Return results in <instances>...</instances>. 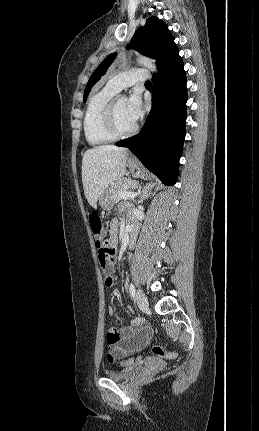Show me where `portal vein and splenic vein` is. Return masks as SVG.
I'll return each instance as SVG.
<instances>
[{"label": "portal vein and splenic vein", "instance_id": "1", "mask_svg": "<svg viewBox=\"0 0 259 431\" xmlns=\"http://www.w3.org/2000/svg\"><path fill=\"white\" fill-rule=\"evenodd\" d=\"M121 198H135L137 196L136 192L124 191L120 193Z\"/></svg>", "mask_w": 259, "mask_h": 431}]
</instances>
